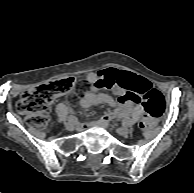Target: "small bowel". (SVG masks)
<instances>
[{
  "mask_svg": "<svg viewBox=\"0 0 194 193\" xmlns=\"http://www.w3.org/2000/svg\"><path fill=\"white\" fill-rule=\"evenodd\" d=\"M118 70L114 68L102 69L97 72H91L86 76V82L89 85V90L86 91L79 99L78 104L82 108H88L92 106H99L103 104H109L113 107L112 111L105 113L98 125L104 126L109 121L125 117L132 114L135 118H140L143 111L139 107H134L130 100L123 99V97L116 101L106 92L104 88L110 80H114L118 76ZM147 86H152L148 82L137 79V92L143 91Z\"/></svg>",
  "mask_w": 194,
  "mask_h": 193,
  "instance_id": "1",
  "label": "small bowel"
}]
</instances>
